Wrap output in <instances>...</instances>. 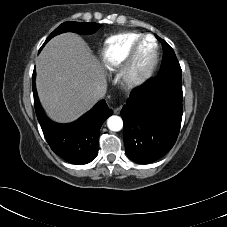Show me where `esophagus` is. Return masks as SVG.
Segmentation results:
<instances>
[{
	"label": "esophagus",
	"mask_w": 227,
	"mask_h": 227,
	"mask_svg": "<svg viewBox=\"0 0 227 227\" xmlns=\"http://www.w3.org/2000/svg\"><path fill=\"white\" fill-rule=\"evenodd\" d=\"M120 110H121V108L120 107H117V108L114 109V113L115 114H119L120 113Z\"/></svg>",
	"instance_id": "obj_1"
}]
</instances>
